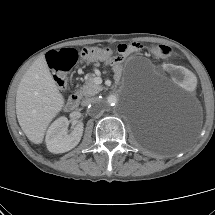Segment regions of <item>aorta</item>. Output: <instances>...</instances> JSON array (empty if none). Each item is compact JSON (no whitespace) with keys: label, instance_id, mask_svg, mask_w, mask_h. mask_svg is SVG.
<instances>
[{"label":"aorta","instance_id":"1","mask_svg":"<svg viewBox=\"0 0 215 215\" xmlns=\"http://www.w3.org/2000/svg\"><path fill=\"white\" fill-rule=\"evenodd\" d=\"M116 102H117V98L115 97V96H110V97H108V99H107V104L108 105H115L116 104Z\"/></svg>","mask_w":215,"mask_h":215}]
</instances>
